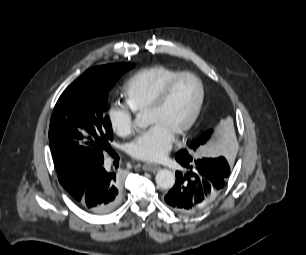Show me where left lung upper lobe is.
I'll return each mask as SVG.
<instances>
[{"label": "left lung upper lobe", "instance_id": "obj_1", "mask_svg": "<svg viewBox=\"0 0 306 255\" xmlns=\"http://www.w3.org/2000/svg\"><path fill=\"white\" fill-rule=\"evenodd\" d=\"M212 133H213V130H208L200 138H198L197 140L192 142L189 145V147L185 150L191 156H194V153L197 151V149H200V148L204 147L205 143L209 140ZM198 161H202L206 164L212 165V166L217 167V168H224V169L230 170V167H229V165H228V163H227V161L225 160L224 157H219V158H215V159L203 158V159H199Z\"/></svg>", "mask_w": 306, "mask_h": 255}]
</instances>
